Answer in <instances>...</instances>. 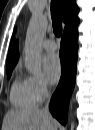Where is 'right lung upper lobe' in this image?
<instances>
[{"instance_id": "right-lung-upper-lobe-1", "label": "right lung upper lobe", "mask_w": 95, "mask_h": 130, "mask_svg": "<svg viewBox=\"0 0 95 130\" xmlns=\"http://www.w3.org/2000/svg\"><path fill=\"white\" fill-rule=\"evenodd\" d=\"M58 4L61 10L62 19L65 23L64 34L77 30L79 23L78 12L79 9L76 6L75 0H58ZM19 58L18 43L12 37L8 57L6 70L13 69Z\"/></svg>"}]
</instances>
